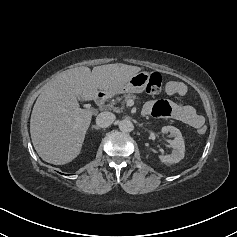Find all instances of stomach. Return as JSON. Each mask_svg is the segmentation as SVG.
<instances>
[{
  "label": "stomach",
  "mask_w": 237,
  "mask_h": 237,
  "mask_svg": "<svg viewBox=\"0 0 237 237\" xmlns=\"http://www.w3.org/2000/svg\"><path fill=\"white\" fill-rule=\"evenodd\" d=\"M149 81V73L139 72L131 76L127 80L120 83L109 94L118 93H141L145 90Z\"/></svg>",
  "instance_id": "0dacf381"
}]
</instances>
